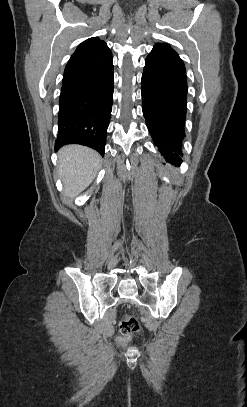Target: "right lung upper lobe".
<instances>
[{"mask_svg":"<svg viewBox=\"0 0 247 407\" xmlns=\"http://www.w3.org/2000/svg\"><path fill=\"white\" fill-rule=\"evenodd\" d=\"M111 55V50L107 44L98 37L85 40L77 47L66 65L63 82L83 74Z\"/></svg>","mask_w":247,"mask_h":407,"instance_id":"cb5924a9","label":"right lung upper lobe"}]
</instances>
